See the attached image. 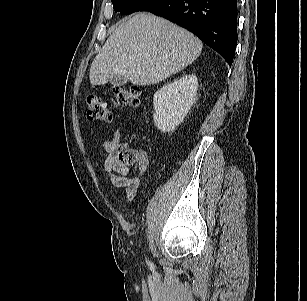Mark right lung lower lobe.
<instances>
[{"label": "right lung lower lobe", "mask_w": 307, "mask_h": 301, "mask_svg": "<svg viewBox=\"0 0 307 301\" xmlns=\"http://www.w3.org/2000/svg\"><path fill=\"white\" fill-rule=\"evenodd\" d=\"M142 11L186 28L232 64L237 45V0H157Z\"/></svg>", "instance_id": "98d812e1"}]
</instances>
